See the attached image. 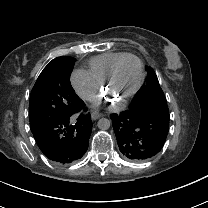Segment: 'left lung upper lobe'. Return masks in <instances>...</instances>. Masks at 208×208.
Wrapping results in <instances>:
<instances>
[{
  "label": "left lung upper lobe",
  "mask_w": 208,
  "mask_h": 208,
  "mask_svg": "<svg viewBox=\"0 0 208 208\" xmlns=\"http://www.w3.org/2000/svg\"><path fill=\"white\" fill-rule=\"evenodd\" d=\"M148 79L144 88L136 95L129 109L139 112H150L170 119L164 93L159 85L154 70L147 67Z\"/></svg>",
  "instance_id": "obj_1"
}]
</instances>
